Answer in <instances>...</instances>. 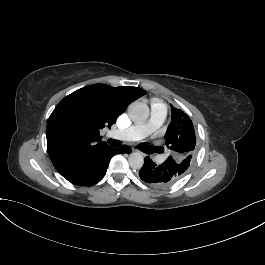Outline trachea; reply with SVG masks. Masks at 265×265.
Returning <instances> with one entry per match:
<instances>
[{
	"instance_id": "obj_1",
	"label": "trachea",
	"mask_w": 265,
	"mask_h": 265,
	"mask_svg": "<svg viewBox=\"0 0 265 265\" xmlns=\"http://www.w3.org/2000/svg\"><path fill=\"white\" fill-rule=\"evenodd\" d=\"M108 143H109V145L112 146V147H119V146L121 145L120 141H118V140H114V139H110V140H108ZM145 148H146V146H143V147L141 148V150L144 151Z\"/></svg>"
}]
</instances>
